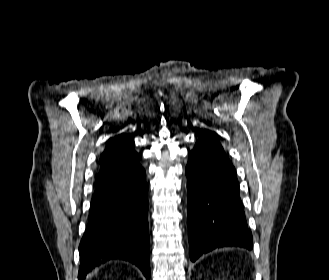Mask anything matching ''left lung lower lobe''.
I'll return each instance as SVG.
<instances>
[{
    "instance_id": "0a47b994",
    "label": "left lung lower lobe",
    "mask_w": 329,
    "mask_h": 280,
    "mask_svg": "<svg viewBox=\"0 0 329 280\" xmlns=\"http://www.w3.org/2000/svg\"><path fill=\"white\" fill-rule=\"evenodd\" d=\"M210 170L188 162V233L191 261L222 247L252 250L235 168L223 152Z\"/></svg>"
}]
</instances>
